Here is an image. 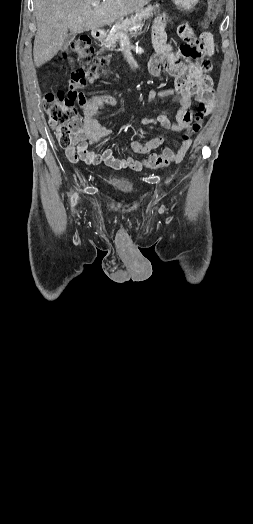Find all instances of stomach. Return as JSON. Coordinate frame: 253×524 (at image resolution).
Listing matches in <instances>:
<instances>
[{
	"label": "stomach",
	"mask_w": 253,
	"mask_h": 524,
	"mask_svg": "<svg viewBox=\"0 0 253 524\" xmlns=\"http://www.w3.org/2000/svg\"><path fill=\"white\" fill-rule=\"evenodd\" d=\"M173 3L181 10L189 11L193 9L199 0H172Z\"/></svg>",
	"instance_id": "1"
}]
</instances>
